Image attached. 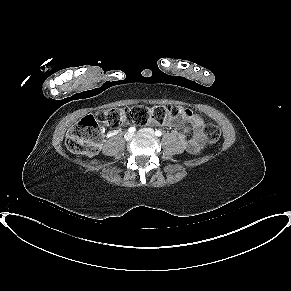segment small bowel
I'll return each mask as SVG.
<instances>
[{
    "instance_id": "1",
    "label": "small bowel",
    "mask_w": 291,
    "mask_h": 291,
    "mask_svg": "<svg viewBox=\"0 0 291 291\" xmlns=\"http://www.w3.org/2000/svg\"><path fill=\"white\" fill-rule=\"evenodd\" d=\"M179 110L178 117L166 118L161 124L181 127L184 123H188L185 131L179 134V141L188 152L195 153L204 145V120L191 109L179 107Z\"/></svg>"
}]
</instances>
